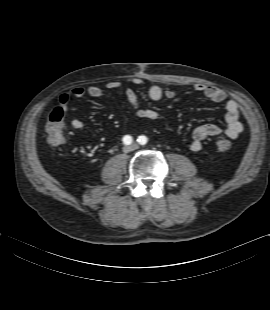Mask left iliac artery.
I'll use <instances>...</instances> for the list:
<instances>
[{
    "instance_id": "obj_1",
    "label": "left iliac artery",
    "mask_w": 270,
    "mask_h": 310,
    "mask_svg": "<svg viewBox=\"0 0 270 310\" xmlns=\"http://www.w3.org/2000/svg\"><path fill=\"white\" fill-rule=\"evenodd\" d=\"M137 141L139 142V144L141 145H145L147 143V137L146 136H139Z\"/></svg>"
}]
</instances>
